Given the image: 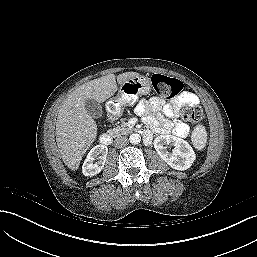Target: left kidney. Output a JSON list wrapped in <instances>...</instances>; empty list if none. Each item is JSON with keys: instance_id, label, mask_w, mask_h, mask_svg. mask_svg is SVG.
Wrapping results in <instances>:
<instances>
[{"instance_id": "5707ae66", "label": "left kidney", "mask_w": 257, "mask_h": 257, "mask_svg": "<svg viewBox=\"0 0 257 257\" xmlns=\"http://www.w3.org/2000/svg\"><path fill=\"white\" fill-rule=\"evenodd\" d=\"M154 148L158 155L173 169L186 170L191 167L196 155L190 144L173 135H160L154 140ZM173 145L172 152L166 145Z\"/></svg>"}]
</instances>
